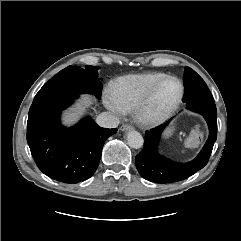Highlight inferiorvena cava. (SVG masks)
I'll list each match as a JSON object with an SVG mask.
<instances>
[{"instance_id": "1", "label": "inferior vena cava", "mask_w": 241, "mask_h": 241, "mask_svg": "<svg viewBox=\"0 0 241 241\" xmlns=\"http://www.w3.org/2000/svg\"><path fill=\"white\" fill-rule=\"evenodd\" d=\"M96 122L99 126L105 128H115L119 125V119L110 112H102L97 118Z\"/></svg>"}]
</instances>
